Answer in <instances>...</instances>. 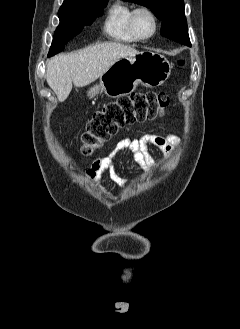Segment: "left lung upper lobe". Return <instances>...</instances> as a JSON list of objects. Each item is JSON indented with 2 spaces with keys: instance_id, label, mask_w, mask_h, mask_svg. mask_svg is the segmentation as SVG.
Instances as JSON below:
<instances>
[{
  "instance_id": "1",
  "label": "left lung upper lobe",
  "mask_w": 240,
  "mask_h": 329,
  "mask_svg": "<svg viewBox=\"0 0 240 329\" xmlns=\"http://www.w3.org/2000/svg\"><path fill=\"white\" fill-rule=\"evenodd\" d=\"M151 8L162 21L161 35L190 46L183 0H130Z\"/></svg>"
}]
</instances>
